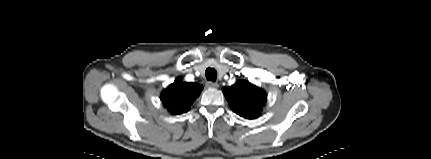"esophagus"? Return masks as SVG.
<instances>
[{"mask_svg": "<svg viewBox=\"0 0 431 159\" xmlns=\"http://www.w3.org/2000/svg\"><path fill=\"white\" fill-rule=\"evenodd\" d=\"M206 86L209 87V88H218L219 85H218L217 82L209 81V82L206 83Z\"/></svg>", "mask_w": 431, "mask_h": 159, "instance_id": "esophagus-1", "label": "esophagus"}]
</instances>
